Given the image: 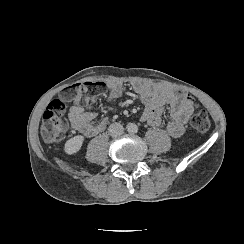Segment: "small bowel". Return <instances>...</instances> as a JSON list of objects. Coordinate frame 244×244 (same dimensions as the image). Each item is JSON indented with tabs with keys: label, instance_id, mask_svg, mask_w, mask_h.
Returning a JSON list of instances; mask_svg holds the SVG:
<instances>
[{
	"label": "small bowel",
	"instance_id": "small-bowel-1",
	"mask_svg": "<svg viewBox=\"0 0 244 244\" xmlns=\"http://www.w3.org/2000/svg\"><path fill=\"white\" fill-rule=\"evenodd\" d=\"M109 91L108 102L111 104L122 96L126 83L120 80H107ZM134 96L144 105L141 120L152 127H159L163 123V115L168 108L169 120L165 124L166 132L172 138H180L185 132V125L194 111V99L185 91L146 81L130 83ZM97 117L94 111H86L81 102L72 105L69 118L72 127L86 137H93L105 130L110 118L103 117L97 124L93 121Z\"/></svg>",
	"mask_w": 244,
	"mask_h": 244
}]
</instances>
